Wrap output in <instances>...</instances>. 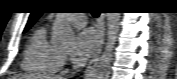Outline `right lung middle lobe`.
Listing matches in <instances>:
<instances>
[{
  "mask_svg": "<svg viewBox=\"0 0 177 79\" xmlns=\"http://www.w3.org/2000/svg\"><path fill=\"white\" fill-rule=\"evenodd\" d=\"M31 26H26L25 27V30H24V33L30 28Z\"/></svg>",
  "mask_w": 177,
  "mask_h": 79,
  "instance_id": "right-lung-middle-lobe-1",
  "label": "right lung middle lobe"
}]
</instances>
